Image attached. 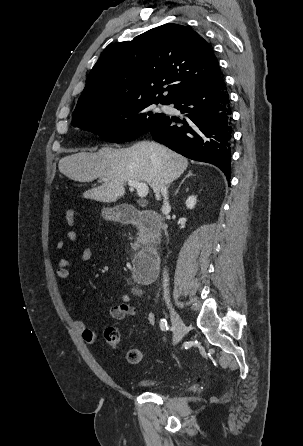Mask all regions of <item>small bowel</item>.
Returning <instances> with one entry per match:
<instances>
[{
	"label": "small bowel",
	"instance_id": "1",
	"mask_svg": "<svg viewBox=\"0 0 303 446\" xmlns=\"http://www.w3.org/2000/svg\"><path fill=\"white\" fill-rule=\"evenodd\" d=\"M66 239H67V241H69L71 243L76 242L77 241L76 232H74L72 230L68 231L66 233ZM66 246H67V243H66V241H63V240L57 242V244H56V248L58 250H64V249H66ZM92 255H93L92 248L85 247L82 250L76 264L72 263L70 260L65 259V258L59 259L58 264H57V269H56L57 280L60 283L65 282L70 275V270L73 267H75V265H80L82 263L89 261L92 258ZM132 293L135 295H139L140 291L138 289H133ZM130 301H131V296L129 294H122L120 296V303L112 305L110 308L111 317L114 319H117V320H122L127 317L133 316L136 313V309L134 306H132L130 304ZM65 311H66L67 315L72 318L74 328L79 332L82 339L88 344H96L97 336L94 333V331L91 328H89L83 321H81L79 319H75L73 316L72 308L66 304H65ZM146 319L150 325L155 324V316L153 313L148 312L146 314Z\"/></svg>",
	"mask_w": 303,
	"mask_h": 446
}]
</instances>
